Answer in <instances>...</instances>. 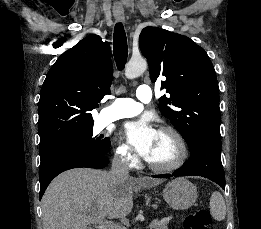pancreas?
Returning a JSON list of instances; mask_svg holds the SVG:
<instances>
[{
  "mask_svg": "<svg viewBox=\"0 0 261 229\" xmlns=\"http://www.w3.org/2000/svg\"><path fill=\"white\" fill-rule=\"evenodd\" d=\"M154 220L156 221V224L153 229H168V221H164V219H162V221H157V219Z\"/></svg>",
  "mask_w": 261,
  "mask_h": 229,
  "instance_id": "1",
  "label": "pancreas"
}]
</instances>
